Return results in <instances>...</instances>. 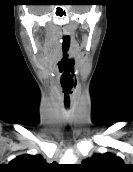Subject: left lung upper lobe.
I'll return each mask as SVG.
<instances>
[{
  "mask_svg": "<svg viewBox=\"0 0 133 172\" xmlns=\"http://www.w3.org/2000/svg\"><path fill=\"white\" fill-rule=\"evenodd\" d=\"M82 166L88 172H118L124 168L123 160L111 153L94 154Z\"/></svg>",
  "mask_w": 133,
  "mask_h": 172,
  "instance_id": "5c2ea615",
  "label": "left lung upper lobe"
}]
</instances>
